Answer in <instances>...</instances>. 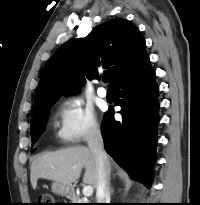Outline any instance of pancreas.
<instances>
[{"label":"pancreas","instance_id":"obj_1","mask_svg":"<svg viewBox=\"0 0 200 205\" xmlns=\"http://www.w3.org/2000/svg\"><path fill=\"white\" fill-rule=\"evenodd\" d=\"M73 202H76V203H88L87 201H85L83 198H73L72 199Z\"/></svg>","mask_w":200,"mask_h":205}]
</instances>
